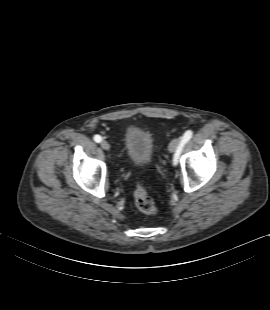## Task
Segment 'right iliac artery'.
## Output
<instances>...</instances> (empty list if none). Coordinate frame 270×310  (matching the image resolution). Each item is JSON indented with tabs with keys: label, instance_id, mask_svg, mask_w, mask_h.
<instances>
[{
	"label": "right iliac artery",
	"instance_id": "82829eb1",
	"mask_svg": "<svg viewBox=\"0 0 270 310\" xmlns=\"http://www.w3.org/2000/svg\"><path fill=\"white\" fill-rule=\"evenodd\" d=\"M94 141L97 142V143H100L102 141V138L100 135H95L94 136Z\"/></svg>",
	"mask_w": 270,
	"mask_h": 310
}]
</instances>
